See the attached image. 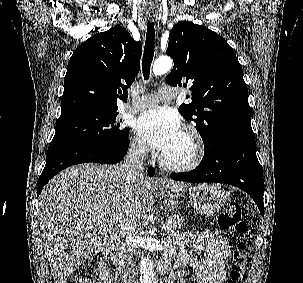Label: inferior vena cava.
<instances>
[{
	"label": "inferior vena cava",
	"instance_id": "obj_1",
	"mask_svg": "<svg viewBox=\"0 0 303 283\" xmlns=\"http://www.w3.org/2000/svg\"><path fill=\"white\" fill-rule=\"evenodd\" d=\"M147 147L144 144L132 146L122 164V168L127 172V180L134 181L138 176H144V160ZM129 283H138L136 279V266L133 258L130 256L127 266Z\"/></svg>",
	"mask_w": 303,
	"mask_h": 283
}]
</instances>
